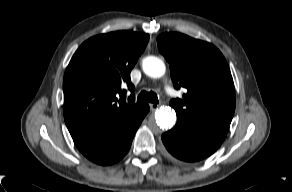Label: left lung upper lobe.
I'll return each mask as SVG.
<instances>
[{
  "label": "left lung upper lobe",
  "instance_id": "left-lung-upper-lobe-1",
  "mask_svg": "<svg viewBox=\"0 0 292 192\" xmlns=\"http://www.w3.org/2000/svg\"><path fill=\"white\" fill-rule=\"evenodd\" d=\"M158 48L170 65L174 87H184L182 99L170 105L177 123L227 134L235 110V88L229 66L212 44L180 33H164Z\"/></svg>",
  "mask_w": 292,
  "mask_h": 192
}]
</instances>
